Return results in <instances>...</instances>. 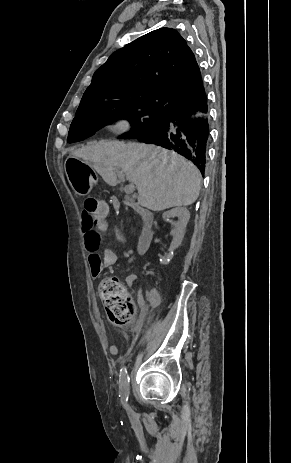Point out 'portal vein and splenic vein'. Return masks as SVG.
<instances>
[{
	"label": "portal vein and splenic vein",
	"mask_w": 291,
	"mask_h": 463,
	"mask_svg": "<svg viewBox=\"0 0 291 463\" xmlns=\"http://www.w3.org/2000/svg\"><path fill=\"white\" fill-rule=\"evenodd\" d=\"M118 177L119 178H124V175L121 172H119ZM124 191H125L126 194H132L135 191L134 184L126 185L125 188H124Z\"/></svg>",
	"instance_id": "1"
}]
</instances>
